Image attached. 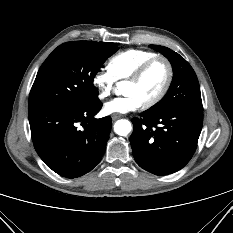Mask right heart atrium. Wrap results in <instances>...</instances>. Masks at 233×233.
<instances>
[{
  "label": "right heart atrium",
  "instance_id": "d8ad5b80",
  "mask_svg": "<svg viewBox=\"0 0 233 233\" xmlns=\"http://www.w3.org/2000/svg\"><path fill=\"white\" fill-rule=\"evenodd\" d=\"M93 84L101 98H108L114 91L116 80L108 69H101L93 76Z\"/></svg>",
  "mask_w": 233,
  "mask_h": 233
}]
</instances>
